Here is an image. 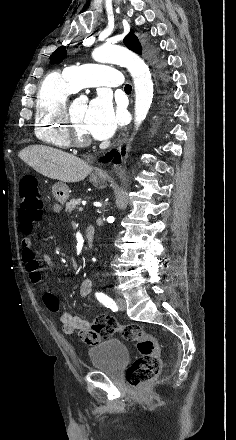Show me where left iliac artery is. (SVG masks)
I'll use <instances>...</instances> for the list:
<instances>
[{
  "label": "left iliac artery",
  "mask_w": 236,
  "mask_h": 440,
  "mask_svg": "<svg viewBox=\"0 0 236 440\" xmlns=\"http://www.w3.org/2000/svg\"><path fill=\"white\" fill-rule=\"evenodd\" d=\"M95 295H96V298L98 299V301L100 303H102L104 306L112 309L113 311H117V309H118L117 305L112 298H110L109 296H107L106 294H104L102 292H96Z\"/></svg>",
  "instance_id": "obj_1"
}]
</instances>
